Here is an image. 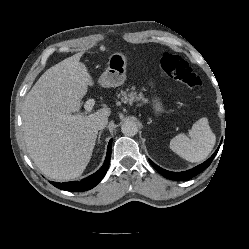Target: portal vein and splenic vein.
Returning <instances> with one entry per match:
<instances>
[{
  "label": "portal vein and splenic vein",
  "instance_id": "obj_1",
  "mask_svg": "<svg viewBox=\"0 0 249 249\" xmlns=\"http://www.w3.org/2000/svg\"><path fill=\"white\" fill-rule=\"evenodd\" d=\"M95 104V100L94 99H89L85 102L84 104V108H85V112L87 114V112H91L93 109V106Z\"/></svg>",
  "mask_w": 249,
  "mask_h": 249
}]
</instances>
